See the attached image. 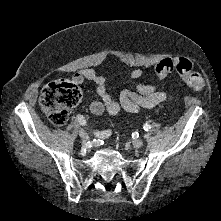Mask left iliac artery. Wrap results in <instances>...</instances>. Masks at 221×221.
I'll return each mask as SVG.
<instances>
[{
    "instance_id": "44dca946",
    "label": "left iliac artery",
    "mask_w": 221,
    "mask_h": 221,
    "mask_svg": "<svg viewBox=\"0 0 221 221\" xmlns=\"http://www.w3.org/2000/svg\"><path fill=\"white\" fill-rule=\"evenodd\" d=\"M143 128H144L145 131H149L151 129V126L149 124H145L143 126Z\"/></svg>"
}]
</instances>
